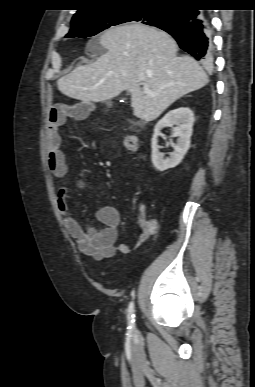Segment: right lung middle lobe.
Returning <instances> with one entry per match:
<instances>
[{"instance_id": "obj_1", "label": "right lung middle lobe", "mask_w": 255, "mask_h": 387, "mask_svg": "<svg viewBox=\"0 0 255 387\" xmlns=\"http://www.w3.org/2000/svg\"><path fill=\"white\" fill-rule=\"evenodd\" d=\"M160 8L162 6H122L104 10L72 21L66 38H86L109 27L131 21L159 27L170 22L174 16V8Z\"/></svg>"}]
</instances>
